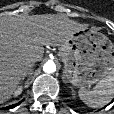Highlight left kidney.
<instances>
[{
    "label": "left kidney",
    "mask_w": 114,
    "mask_h": 114,
    "mask_svg": "<svg viewBox=\"0 0 114 114\" xmlns=\"http://www.w3.org/2000/svg\"><path fill=\"white\" fill-rule=\"evenodd\" d=\"M72 92V96L75 97V93H74V90L71 91Z\"/></svg>",
    "instance_id": "obj_1"
}]
</instances>
